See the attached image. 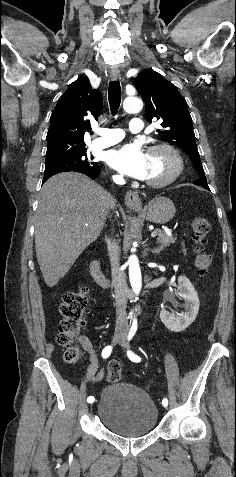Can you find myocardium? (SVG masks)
I'll list each match as a JSON object with an SVG mask.
<instances>
[{
	"label": "myocardium",
	"mask_w": 236,
	"mask_h": 477,
	"mask_svg": "<svg viewBox=\"0 0 236 477\" xmlns=\"http://www.w3.org/2000/svg\"><path fill=\"white\" fill-rule=\"evenodd\" d=\"M155 151H164L173 159L175 164L174 170L167 177L160 180L146 179L145 183L148 186L159 188V187H164L173 183L183 173L185 168V163L179 151L169 144L159 143V144L152 145L148 149V153H153Z\"/></svg>",
	"instance_id": "myocardium-1"
}]
</instances>
